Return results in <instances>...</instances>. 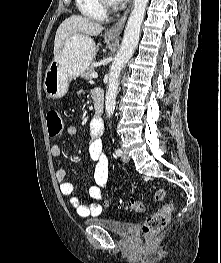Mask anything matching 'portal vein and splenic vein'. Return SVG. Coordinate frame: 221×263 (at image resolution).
<instances>
[{
	"label": "portal vein and splenic vein",
	"mask_w": 221,
	"mask_h": 263,
	"mask_svg": "<svg viewBox=\"0 0 221 263\" xmlns=\"http://www.w3.org/2000/svg\"><path fill=\"white\" fill-rule=\"evenodd\" d=\"M98 77V75H97V73H92V78H97Z\"/></svg>",
	"instance_id": "obj_1"
}]
</instances>
